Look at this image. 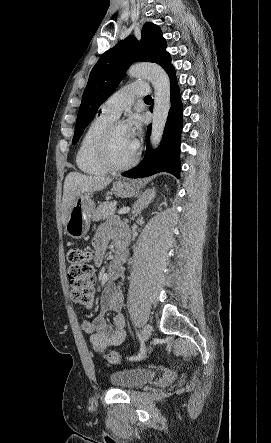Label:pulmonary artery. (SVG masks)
Returning <instances> with one entry per match:
<instances>
[{
	"label": "pulmonary artery",
	"mask_w": 271,
	"mask_h": 443,
	"mask_svg": "<svg viewBox=\"0 0 271 443\" xmlns=\"http://www.w3.org/2000/svg\"><path fill=\"white\" fill-rule=\"evenodd\" d=\"M145 92L139 89L138 83L127 85L113 93L100 106L101 114L117 118L124 110L131 107L135 98L143 96Z\"/></svg>",
	"instance_id": "1"
}]
</instances>
